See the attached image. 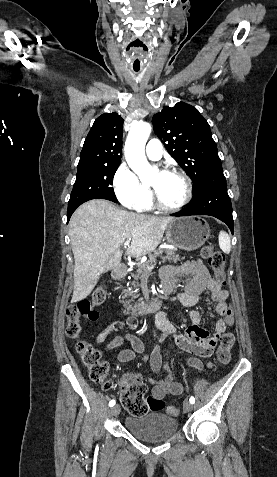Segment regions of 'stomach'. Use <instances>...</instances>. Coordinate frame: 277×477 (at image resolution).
I'll return each instance as SVG.
<instances>
[{"instance_id": "stomach-1", "label": "stomach", "mask_w": 277, "mask_h": 477, "mask_svg": "<svg viewBox=\"0 0 277 477\" xmlns=\"http://www.w3.org/2000/svg\"><path fill=\"white\" fill-rule=\"evenodd\" d=\"M209 237V224L196 216L175 218L166 228L167 242L185 251L197 250Z\"/></svg>"}]
</instances>
